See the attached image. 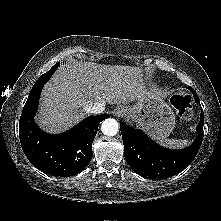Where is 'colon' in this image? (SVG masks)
I'll return each mask as SVG.
<instances>
[{
	"instance_id": "1",
	"label": "colon",
	"mask_w": 221,
	"mask_h": 221,
	"mask_svg": "<svg viewBox=\"0 0 221 221\" xmlns=\"http://www.w3.org/2000/svg\"><path fill=\"white\" fill-rule=\"evenodd\" d=\"M171 104L178 111L179 115L189 120L192 117V98L187 92H180L172 95Z\"/></svg>"
}]
</instances>
